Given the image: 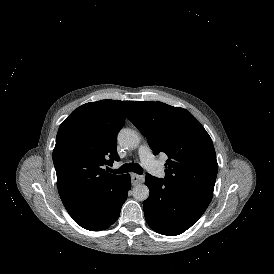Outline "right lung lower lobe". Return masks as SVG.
Masks as SVG:
<instances>
[{
    "mask_svg": "<svg viewBox=\"0 0 274 274\" xmlns=\"http://www.w3.org/2000/svg\"><path fill=\"white\" fill-rule=\"evenodd\" d=\"M130 187V175L125 174L115 184L107 187L92 205L70 215L87 230L107 229L118 219Z\"/></svg>",
    "mask_w": 274,
    "mask_h": 274,
    "instance_id": "98d812e1",
    "label": "right lung lower lobe"
}]
</instances>
